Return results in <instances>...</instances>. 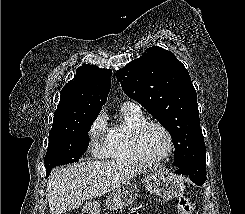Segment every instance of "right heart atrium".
I'll list each match as a JSON object with an SVG mask.
<instances>
[{"label": "right heart atrium", "mask_w": 245, "mask_h": 214, "mask_svg": "<svg viewBox=\"0 0 245 214\" xmlns=\"http://www.w3.org/2000/svg\"><path fill=\"white\" fill-rule=\"evenodd\" d=\"M108 134L109 126L107 116L104 112H101L94 119L88 131L91 151L98 158L106 156Z\"/></svg>", "instance_id": "1"}]
</instances>
